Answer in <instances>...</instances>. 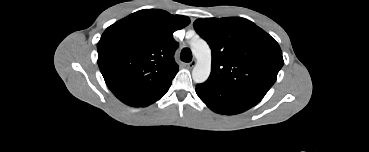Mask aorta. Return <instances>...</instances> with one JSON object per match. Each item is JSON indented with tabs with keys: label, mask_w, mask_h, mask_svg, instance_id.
Returning <instances> with one entry per match:
<instances>
[{
	"label": "aorta",
	"mask_w": 369,
	"mask_h": 152,
	"mask_svg": "<svg viewBox=\"0 0 369 152\" xmlns=\"http://www.w3.org/2000/svg\"><path fill=\"white\" fill-rule=\"evenodd\" d=\"M192 54L197 62L192 70V78L195 83H204L211 72V50L207 42L198 38L190 44Z\"/></svg>",
	"instance_id": "obj_1"
}]
</instances>
